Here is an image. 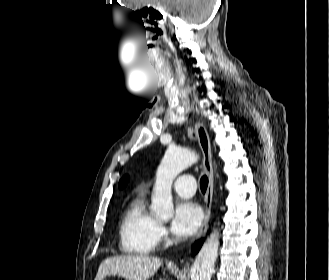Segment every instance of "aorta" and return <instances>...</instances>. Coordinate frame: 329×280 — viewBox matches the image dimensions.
Instances as JSON below:
<instances>
[{
  "mask_svg": "<svg viewBox=\"0 0 329 280\" xmlns=\"http://www.w3.org/2000/svg\"><path fill=\"white\" fill-rule=\"evenodd\" d=\"M197 161V154L188 149L169 147L158 167L152 195V211L162 219L173 216L171 187L184 169ZM219 249V232L213 230L191 266V280H211Z\"/></svg>",
  "mask_w": 329,
  "mask_h": 280,
  "instance_id": "obj_1",
  "label": "aorta"
}]
</instances>
